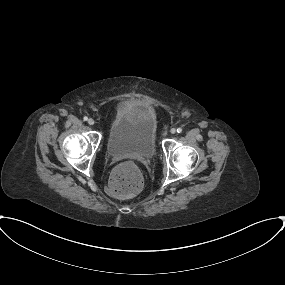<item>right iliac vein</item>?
I'll return each instance as SVG.
<instances>
[{
	"label": "right iliac vein",
	"mask_w": 285,
	"mask_h": 285,
	"mask_svg": "<svg viewBox=\"0 0 285 285\" xmlns=\"http://www.w3.org/2000/svg\"><path fill=\"white\" fill-rule=\"evenodd\" d=\"M88 124L91 125V126H93V125L95 124L94 119H93V118H90V119L88 120Z\"/></svg>",
	"instance_id": "obj_1"
}]
</instances>
